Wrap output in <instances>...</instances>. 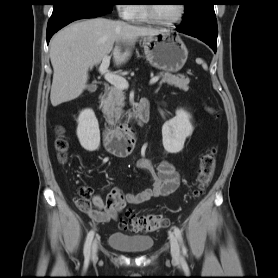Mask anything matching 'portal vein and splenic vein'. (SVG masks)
<instances>
[{
    "instance_id": "1",
    "label": "portal vein and splenic vein",
    "mask_w": 278,
    "mask_h": 278,
    "mask_svg": "<svg viewBox=\"0 0 278 278\" xmlns=\"http://www.w3.org/2000/svg\"><path fill=\"white\" fill-rule=\"evenodd\" d=\"M109 64H110V57L108 55H105L99 67V72L104 75L105 80L108 81L110 84L122 90L127 89L129 87L127 80L119 75L110 73L108 71ZM159 79H160L159 76L153 77L150 80V84L151 85L155 84L156 82H158Z\"/></svg>"
}]
</instances>
